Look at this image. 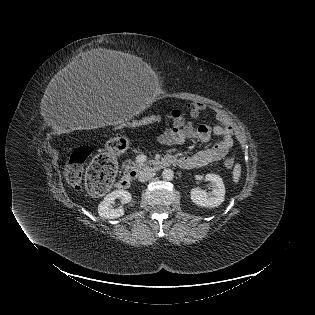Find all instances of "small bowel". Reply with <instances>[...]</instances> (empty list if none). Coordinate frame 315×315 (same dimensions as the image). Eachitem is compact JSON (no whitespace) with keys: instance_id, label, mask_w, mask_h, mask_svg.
I'll return each instance as SVG.
<instances>
[{"instance_id":"1","label":"small bowel","mask_w":315,"mask_h":315,"mask_svg":"<svg viewBox=\"0 0 315 315\" xmlns=\"http://www.w3.org/2000/svg\"><path fill=\"white\" fill-rule=\"evenodd\" d=\"M206 110L205 104L193 102L185 110H172L166 116L165 128L157 137V141L166 145H183L188 140L208 142L212 136L222 139L211 147L198 151L192 155L175 158L176 164L184 169L203 167L223 159L233 146V130L225 116L215 111L219 125L195 124L202 112Z\"/></svg>"}]
</instances>
